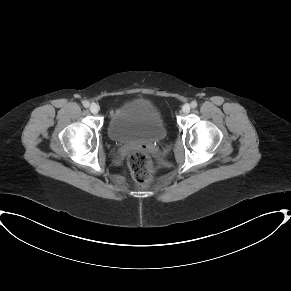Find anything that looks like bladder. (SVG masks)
I'll return each mask as SVG.
<instances>
[{
    "mask_svg": "<svg viewBox=\"0 0 291 291\" xmlns=\"http://www.w3.org/2000/svg\"><path fill=\"white\" fill-rule=\"evenodd\" d=\"M109 135L124 142L161 140L167 133L162 111L154 102L137 98L120 105L108 123Z\"/></svg>",
    "mask_w": 291,
    "mask_h": 291,
    "instance_id": "bladder-1",
    "label": "bladder"
}]
</instances>
